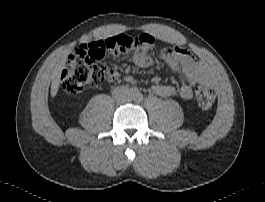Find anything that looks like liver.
Listing matches in <instances>:
<instances>
[{
    "instance_id": "6515ba94",
    "label": "liver",
    "mask_w": 265,
    "mask_h": 202,
    "mask_svg": "<svg viewBox=\"0 0 265 202\" xmlns=\"http://www.w3.org/2000/svg\"><path fill=\"white\" fill-rule=\"evenodd\" d=\"M66 58L60 60V62L55 66L52 72V82H51V96L55 97L58 93L60 82H61V73L65 66Z\"/></svg>"
}]
</instances>
